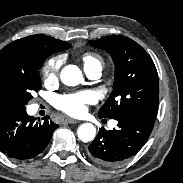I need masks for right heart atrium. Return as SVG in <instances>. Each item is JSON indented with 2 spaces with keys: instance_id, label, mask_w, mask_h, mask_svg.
Listing matches in <instances>:
<instances>
[{
  "instance_id": "1",
  "label": "right heart atrium",
  "mask_w": 183,
  "mask_h": 183,
  "mask_svg": "<svg viewBox=\"0 0 183 183\" xmlns=\"http://www.w3.org/2000/svg\"><path fill=\"white\" fill-rule=\"evenodd\" d=\"M61 60L57 57L48 59L42 67V77L46 83H53L58 79Z\"/></svg>"
}]
</instances>
